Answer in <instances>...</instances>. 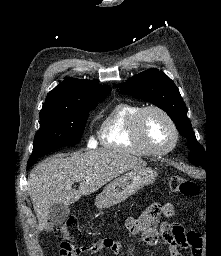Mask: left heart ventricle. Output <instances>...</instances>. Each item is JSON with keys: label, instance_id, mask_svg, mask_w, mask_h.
Returning a JSON list of instances; mask_svg holds the SVG:
<instances>
[{"label": "left heart ventricle", "instance_id": "left-heart-ventricle-1", "mask_svg": "<svg viewBox=\"0 0 221 256\" xmlns=\"http://www.w3.org/2000/svg\"><path fill=\"white\" fill-rule=\"evenodd\" d=\"M142 131L146 141L154 148L169 146L173 133L166 119L157 112H148L143 120Z\"/></svg>", "mask_w": 221, "mask_h": 256}]
</instances>
